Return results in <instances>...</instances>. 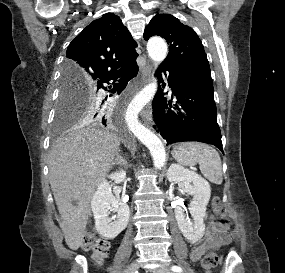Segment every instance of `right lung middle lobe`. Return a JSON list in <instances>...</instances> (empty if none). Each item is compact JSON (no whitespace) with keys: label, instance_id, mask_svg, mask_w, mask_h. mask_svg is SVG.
I'll return each mask as SVG.
<instances>
[{"label":"right lung middle lobe","instance_id":"1","mask_svg":"<svg viewBox=\"0 0 285 273\" xmlns=\"http://www.w3.org/2000/svg\"><path fill=\"white\" fill-rule=\"evenodd\" d=\"M104 100L97 95L93 84H87L65 70L59 94L56 126L64 127L70 121L87 118L99 119Z\"/></svg>","mask_w":285,"mask_h":273}]
</instances>
